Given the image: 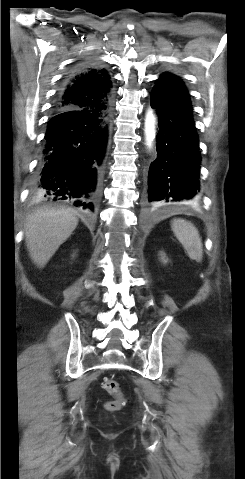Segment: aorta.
Segmentation results:
<instances>
[{
	"label": "aorta",
	"mask_w": 245,
	"mask_h": 479,
	"mask_svg": "<svg viewBox=\"0 0 245 479\" xmlns=\"http://www.w3.org/2000/svg\"><path fill=\"white\" fill-rule=\"evenodd\" d=\"M145 135H146L147 145L151 147L152 141L155 138V115L152 111H148L146 115Z\"/></svg>",
	"instance_id": "obj_1"
}]
</instances>
